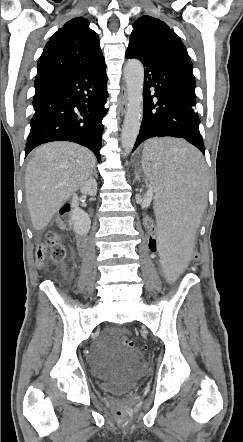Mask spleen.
Listing matches in <instances>:
<instances>
[{
  "label": "spleen",
  "mask_w": 243,
  "mask_h": 442,
  "mask_svg": "<svg viewBox=\"0 0 243 442\" xmlns=\"http://www.w3.org/2000/svg\"><path fill=\"white\" fill-rule=\"evenodd\" d=\"M140 178L155 184V211L162 229L157 253L164 274L177 280L183 274L198 219L204 214L206 185L201 153L178 139H151L140 155Z\"/></svg>",
  "instance_id": "1"
}]
</instances>
